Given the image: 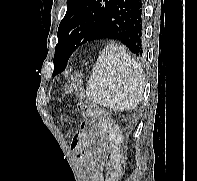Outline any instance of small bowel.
<instances>
[{
	"instance_id": "c3829d8e",
	"label": "small bowel",
	"mask_w": 197,
	"mask_h": 181,
	"mask_svg": "<svg viewBox=\"0 0 197 181\" xmlns=\"http://www.w3.org/2000/svg\"><path fill=\"white\" fill-rule=\"evenodd\" d=\"M102 134L91 123L85 122L78 134L73 138V148L81 155L84 163H86L85 175L90 181H100L101 175L99 169L102 166L100 159L99 137Z\"/></svg>"
}]
</instances>
